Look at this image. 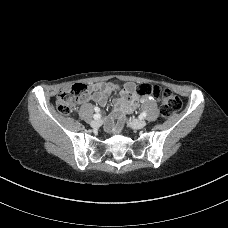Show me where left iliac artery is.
Masks as SVG:
<instances>
[{"mask_svg": "<svg viewBox=\"0 0 228 228\" xmlns=\"http://www.w3.org/2000/svg\"><path fill=\"white\" fill-rule=\"evenodd\" d=\"M146 115H147L146 112H142L140 116H141V118H144V117H146Z\"/></svg>", "mask_w": 228, "mask_h": 228, "instance_id": "left-iliac-artery-1", "label": "left iliac artery"}]
</instances>
